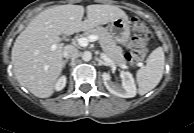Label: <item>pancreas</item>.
Returning <instances> with one entry per match:
<instances>
[{"mask_svg":"<svg viewBox=\"0 0 194 133\" xmlns=\"http://www.w3.org/2000/svg\"><path fill=\"white\" fill-rule=\"evenodd\" d=\"M85 36L96 35L99 38L101 47L104 53L112 59L116 64L123 66L126 61L122 52V48L117 45L116 40L104 27L98 26L87 30Z\"/></svg>","mask_w":194,"mask_h":133,"instance_id":"obj_1","label":"pancreas"}]
</instances>
